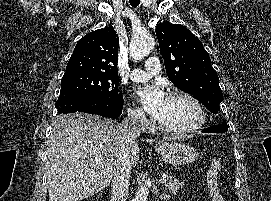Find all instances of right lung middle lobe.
<instances>
[{
    "label": "right lung middle lobe",
    "mask_w": 271,
    "mask_h": 201,
    "mask_svg": "<svg viewBox=\"0 0 271 201\" xmlns=\"http://www.w3.org/2000/svg\"><path fill=\"white\" fill-rule=\"evenodd\" d=\"M118 85V75L85 70L66 71L61 80L60 95L114 98L122 95L119 93Z\"/></svg>",
    "instance_id": "dd1d6c3e"
}]
</instances>
